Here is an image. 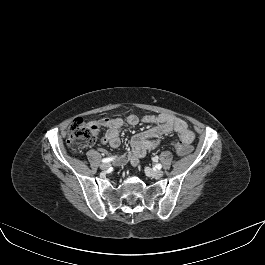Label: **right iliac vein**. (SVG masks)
<instances>
[{"label":"right iliac vein","mask_w":265,"mask_h":265,"mask_svg":"<svg viewBox=\"0 0 265 265\" xmlns=\"http://www.w3.org/2000/svg\"><path fill=\"white\" fill-rule=\"evenodd\" d=\"M108 167H109V164L108 163H103V164L100 165V168L102 170H106V169H108Z\"/></svg>","instance_id":"obj_1"}]
</instances>
